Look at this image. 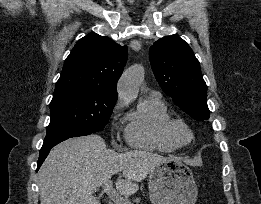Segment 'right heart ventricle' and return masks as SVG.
Here are the masks:
<instances>
[{
  "mask_svg": "<svg viewBox=\"0 0 261 204\" xmlns=\"http://www.w3.org/2000/svg\"><path fill=\"white\" fill-rule=\"evenodd\" d=\"M169 109L160 97L142 99L136 110L127 117L125 138L136 149L169 153L179 146L172 140L167 125Z\"/></svg>",
  "mask_w": 261,
  "mask_h": 204,
  "instance_id": "obj_1",
  "label": "right heart ventricle"
}]
</instances>
